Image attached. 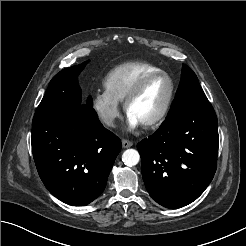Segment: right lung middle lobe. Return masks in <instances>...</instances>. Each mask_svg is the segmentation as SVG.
<instances>
[{"mask_svg":"<svg viewBox=\"0 0 246 246\" xmlns=\"http://www.w3.org/2000/svg\"><path fill=\"white\" fill-rule=\"evenodd\" d=\"M87 63L88 61L63 69L52 78L34 118L61 117L72 112L79 105L92 106L91 97L88 98L87 103L82 101L81 89L77 81L78 75Z\"/></svg>","mask_w":246,"mask_h":246,"instance_id":"1","label":"right lung middle lobe"}]
</instances>
